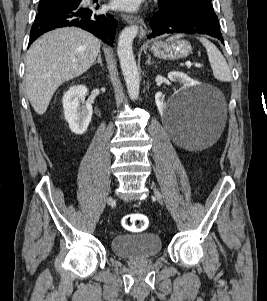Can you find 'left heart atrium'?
I'll list each match as a JSON object with an SVG mask.
<instances>
[{
  "label": "left heart atrium",
  "mask_w": 267,
  "mask_h": 301,
  "mask_svg": "<svg viewBox=\"0 0 267 301\" xmlns=\"http://www.w3.org/2000/svg\"><path fill=\"white\" fill-rule=\"evenodd\" d=\"M141 0H114V5L126 10H135Z\"/></svg>",
  "instance_id": "39dd6f15"
}]
</instances>
